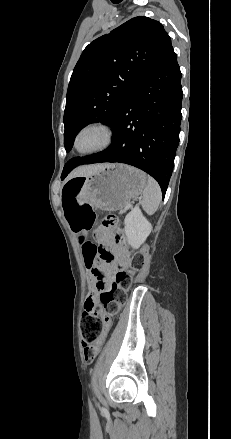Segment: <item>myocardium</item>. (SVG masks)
I'll list each match as a JSON object with an SVG mask.
<instances>
[{
  "mask_svg": "<svg viewBox=\"0 0 231 439\" xmlns=\"http://www.w3.org/2000/svg\"><path fill=\"white\" fill-rule=\"evenodd\" d=\"M87 132H96L100 135V142L92 148L84 149L79 145L80 138ZM115 139L114 129L106 122L100 120L89 121L80 126L73 137V149L80 155H94L101 153L112 146Z\"/></svg>",
  "mask_w": 231,
  "mask_h": 439,
  "instance_id": "myocardium-1",
  "label": "myocardium"
}]
</instances>
